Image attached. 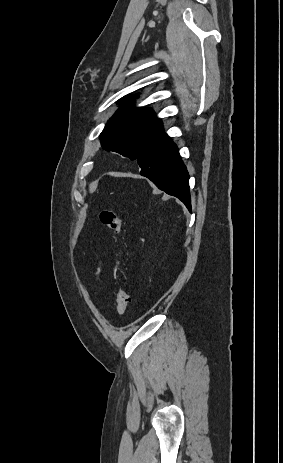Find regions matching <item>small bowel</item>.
<instances>
[{
	"label": "small bowel",
	"instance_id": "small-bowel-1",
	"mask_svg": "<svg viewBox=\"0 0 283 463\" xmlns=\"http://www.w3.org/2000/svg\"><path fill=\"white\" fill-rule=\"evenodd\" d=\"M100 272H101V267H98L97 270H96V276H97V277H99Z\"/></svg>",
	"mask_w": 283,
	"mask_h": 463
}]
</instances>
